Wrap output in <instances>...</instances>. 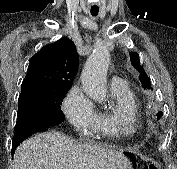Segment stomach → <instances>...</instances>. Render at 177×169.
I'll return each instance as SVG.
<instances>
[{"label":"stomach","instance_id":"obj_1","mask_svg":"<svg viewBox=\"0 0 177 169\" xmlns=\"http://www.w3.org/2000/svg\"><path fill=\"white\" fill-rule=\"evenodd\" d=\"M130 160V167L128 169H145V166L137 160L135 155H128L127 156Z\"/></svg>","mask_w":177,"mask_h":169}]
</instances>
